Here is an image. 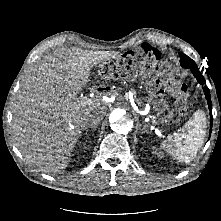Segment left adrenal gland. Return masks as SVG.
<instances>
[{
	"mask_svg": "<svg viewBox=\"0 0 221 221\" xmlns=\"http://www.w3.org/2000/svg\"><path fill=\"white\" fill-rule=\"evenodd\" d=\"M142 131H144V132L147 131V130H146V126L143 127Z\"/></svg>",
	"mask_w": 221,
	"mask_h": 221,
	"instance_id": "1",
	"label": "left adrenal gland"
}]
</instances>
